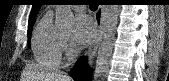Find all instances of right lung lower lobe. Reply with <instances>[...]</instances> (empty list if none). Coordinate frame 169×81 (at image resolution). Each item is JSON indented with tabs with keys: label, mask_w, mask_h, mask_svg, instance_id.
<instances>
[{
	"label": "right lung lower lobe",
	"mask_w": 169,
	"mask_h": 81,
	"mask_svg": "<svg viewBox=\"0 0 169 81\" xmlns=\"http://www.w3.org/2000/svg\"><path fill=\"white\" fill-rule=\"evenodd\" d=\"M72 77L76 81H90L91 80V73L86 66V58L81 57L75 64Z\"/></svg>",
	"instance_id": "obj_1"
}]
</instances>
